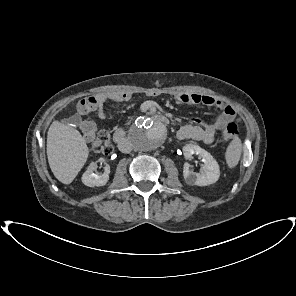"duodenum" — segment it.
<instances>
[{"label": "duodenum", "instance_id": "410a0bca", "mask_svg": "<svg viewBox=\"0 0 296 296\" xmlns=\"http://www.w3.org/2000/svg\"><path fill=\"white\" fill-rule=\"evenodd\" d=\"M153 117L157 121H159L163 124L168 123V118L164 114L153 113ZM113 139L121 151H127L128 147H129V142H128V139L126 137V133L124 130H122V129L116 130L113 135Z\"/></svg>", "mask_w": 296, "mask_h": 296}]
</instances>
